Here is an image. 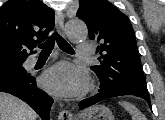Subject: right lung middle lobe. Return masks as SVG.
<instances>
[{"instance_id":"obj_1","label":"right lung middle lobe","mask_w":165,"mask_h":120,"mask_svg":"<svg viewBox=\"0 0 165 120\" xmlns=\"http://www.w3.org/2000/svg\"><path fill=\"white\" fill-rule=\"evenodd\" d=\"M24 61L25 60L0 63V72L27 73L22 66Z\"/></svg>"}]
</instances>
